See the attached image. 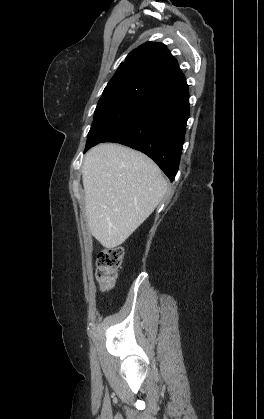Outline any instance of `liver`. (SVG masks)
Segmentation results:
<instances>
[{
	"label": "liver",
	"instance_id": "1",
	"mask_svg": "<svg viewBox=\"0 0 264 419\" xmlns=\"http://www.w3.org/2000/svg\"><path fill=\"white\" fill-rule=\"evenodd\" d=\"M82 181L87 224L108 249L121 245L154 211L167 182L145 154L105 143L84 157Z\"/></svg>",
	"mask_w": 264,
	"mask_h": 419
}]
</instances>
